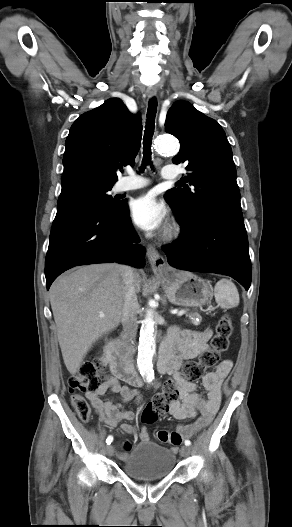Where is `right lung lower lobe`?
Here are the masks:
<instances>
[{
  "mask_svg": "<svg viewBox=\"0 0 292 527\" xmlns=\"http://www.w3.org/2000/svg\"><path fill=\"white\" fill-rule=\"evenodd\" d=\"M139 242L125 202L117 211L80 200L58 203L45 261L47 289L74 266L118 262L144 267L146 250Z\"/></svg>",
  "mask_w": 292,
  "mask_h": 527,
  "instance_id": "98d812e1",
  "label": "right lung lower lobe"
}]
</instances>
